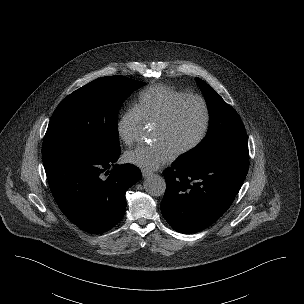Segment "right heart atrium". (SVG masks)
Segmentation results:
<instances>
[{
    "label": "right heart atrium",
    "mask_w": 304,
    "mask_h": 304,
    "mask_svg": "<svg viewBox=\"0 0 304 304\" xmlns=\"http://www.w3.org/2000/svg\"><path fill=\"white\" fill-rule=\"evenodd\" d=\"M144 125V121L135 106L129 107L117 122V133L126 145H132Z\"/></svg>",
    "instance_id": "d8ad5b80"
}]
</instances>
